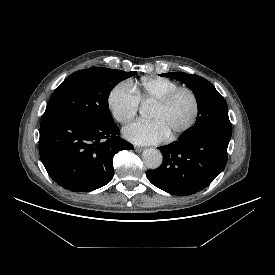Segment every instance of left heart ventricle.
I'll return each instance as SVG.
<instances>
[{"instance_id": "obj_1", "label": "left heart ventricle", "mask_w": 275, "mask_h": 275, "mask_svg": "<svg viewBox=\"0 0 275 275\" xmlns=\"http://www.w3.org/2000/svg\"><path fill=\"white\" fill-rule=\"evenodd\" d=\"M192 112L191 97L187 93H180L167 108L154 106L151 119L160 121L171 135L189 121Z\"/></svg>"}]
</instances>
